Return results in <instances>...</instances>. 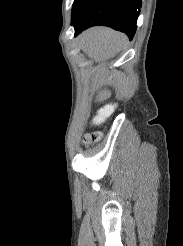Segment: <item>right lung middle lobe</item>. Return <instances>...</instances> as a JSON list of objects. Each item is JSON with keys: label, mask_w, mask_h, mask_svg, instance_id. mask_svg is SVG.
<instances>
[{"label": "right lung middle lobe", "mask_w": 183, "mask_h": 246, "mask_svg": "<svg viewBox=\"0 0 183 246\" xmlns=\"http://www.w3.org/2000/svg\"><path fill=\"white\" fill-rule=\"evenodd\" d=\"M81 0H74L73 3V8H72V13L75 11V9L77 8L78 4L80 3Z\"/></svg>", "instance_id": "dd1d6c3e"}]
</instances>
